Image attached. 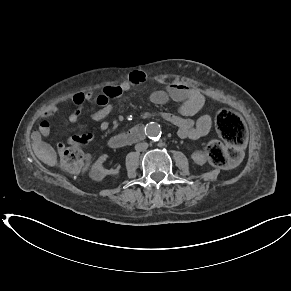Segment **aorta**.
Returning a JSON list of instances; mask_svg holds the SVG:
<instances>
[{
	"instance_id": "762f6f07",
	"label": "aorta",
	"mask_w": 291,
	"mask_h": 291,
	"mask_svg": "<svg viewBox=\"0 0 291 291\" xmlns=\"http://www.w3.org/2000/svg\"><path fill=\"white\" fill-rule=\"evenodd\" d=\"M145 132L150 139H157L161 135V127L157 123H150L146 126Z\"/></svg>"
}]
</instances>
